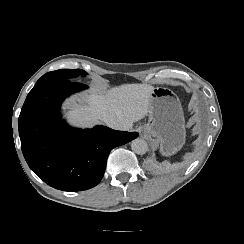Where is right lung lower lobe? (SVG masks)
I'll return each mask as SVG.
<instances>
[{
    "instance_id": "1",
    "label": "right lung lower lobe",
    "mask_w": 244,
    "mask_h": 244,
    "mask_svg": "<svg viewBox=\"0 0 244 244\" xmlns=\"http://www.w3.org/2000/svg\"><path fill=\"white\" fill-rule=\"evenodd\" d=\"M87 88L70 79L45 80L29 92L19 116L21 148L29 167L48 185L63 191L96 186L104 175L114 147L126 144L137 132L104 126L74 129L60 117L70 94Z\"/></svg>"
}]
</instances>
